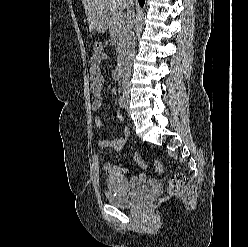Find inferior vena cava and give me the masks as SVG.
I'll use <instances>...</instances> for the list:
<instances>
[{
	"label": "inferior vena cava",
	"instance_id": "inferior-vena-cava-1",
	"mask_svg": "<svg viewBox=\"0 0 248 247\" xmlns=\"http://www.w3.org/2000/svg\"><path fill=\"white\" fill-rule=\"evenodd\" d=\"M127 13L125 15L126 25H127V50H126V63H127V71L130 72L131 69V60L135 55V36H134V24H135V12L133 9V0H128V4L126 6Z\"/></svg>",
	"mask_w": 248,
	"mask_h": 247
}]
</instances>
